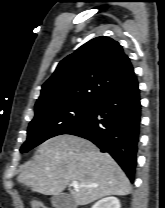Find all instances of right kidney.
<instances>
[{
	"label": "right kidney",
	"mask_w": 165,
	"mask_h": 208,
	"mask_svg": "<svg viewBox=\"0 0 165 208\" xmlns=\"http://www.w3.org/2000/svg\"><path fill=\"white\" fill-rule=\"evenodd\" d=\"M92 208H120V201L116 197H106L95 203Z\"/></svg>",
	"instance_id": "1"
}]
</instances>
